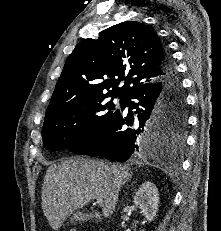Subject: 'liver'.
I'll return each instance as SVG.
<instances>
[{"label": "liver", "mask_w": 221, "mask_h": 231, "mask_svg": "<svg viewBox=\"0 0 221 231\" xmlns=\"http://www.w3.org/2000/svg\"><path fill=\"white\" fill-rule=\"evenodd\" d=\"M131 178L130 168L109 162L67 158L52 164L42 186V209L50 226L58 230L64 220L92 199L101 198L102 214L96 221L115 211L119 191Z\"/></svg>", "instance_id": "6515ba94"}]
</instances>
